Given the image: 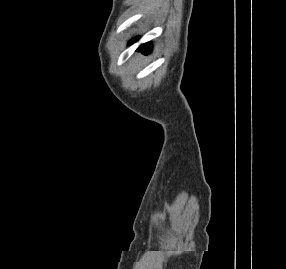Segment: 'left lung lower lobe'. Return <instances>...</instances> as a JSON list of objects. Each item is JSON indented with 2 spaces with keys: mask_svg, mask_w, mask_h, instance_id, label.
<instances>
[{
  "mask_svg": "<svg viewBox=\"0 0 286 269\" xmlns=\"http://www.w3.org/2000/svg\"><path fill=\"white\" fill-rule=\"evenodd\" d=\"M150 50V47L148 44H143L138 48V51H142L143 53H147Z\"/></svg>",
  "mask_w": 286,
  "mask_h": 269,
  "instance_id": "left-lung-lower-lobe-1",
  "label": "left lung lower lobe"
}]
</instances>
